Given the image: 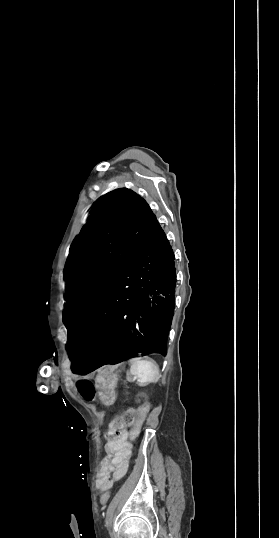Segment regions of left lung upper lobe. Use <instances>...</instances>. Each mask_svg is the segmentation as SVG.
<instances>
[{"mask_svg": "<svg viewBox=\"0 0 279 538\" xmlns=\"http://www.w3.org/2000/svg\"><path fill=\"white\" fill-rule=\"evenodd\" d=\"M156 217L146 201L121 188L95 202L87 223L70 248L63 322L68 333L79 327L119 276Z\"/></svg>", "mask_w": 279, "mask_h": 538, "instance_id": "left-lung-upper-lobe-1", "label": "left lung upper lobe"}]
</instances>
